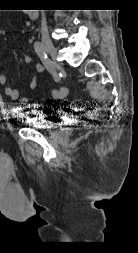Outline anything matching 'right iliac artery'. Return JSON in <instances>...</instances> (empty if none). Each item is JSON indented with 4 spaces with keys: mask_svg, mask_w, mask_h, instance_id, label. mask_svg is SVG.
Instances as JSON below:
<instances>
[{
    "mask_svg": "<svg viewBox=\"0 0 138 253\" xmlns=\"http://www.w3.org/2000/svg\"><path fill=\"white\" fill-rule=\"evenodd\" d=\"M34 49L39 58L41 59L42 63L44 64V66L50 71V73H52L55 82H58L60 80V75L54 70L47 56V53L43 47V44L40 41H36L34 43Z\"/></svg>",
    "mask_w": 138,
    "mask_h": 253,
    "instance_id": "1",
    "label": "right iliac artery"
}]
</instances>
